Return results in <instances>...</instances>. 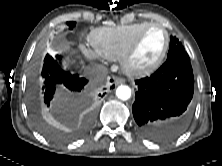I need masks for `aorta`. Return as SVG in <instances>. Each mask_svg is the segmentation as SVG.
<instances>
[{
  "mask_svg": "<svg viewBox=\"0 0 222 166\" xmlns=\"http://www.w3.org/2000/svg\"><path fill=\"white\" fill-rule=\"evenodd\" d=\"M116 96L125 101L131 97V89L127 85H120L116 89Z\"/></svg>",
  "mask_w": 222,
  "mask_h": 166,
  "instance_id": "762f6f07",
  "label": "aorta"
}]
</instances>
